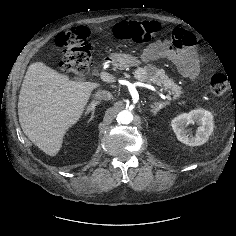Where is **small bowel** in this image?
Returning <instances> with one entry per match:
<instances>
[{"label":"small bowel","mask_w":236,"mask_h":236,"mask_svg":"<svg viewBox=\"0 0 236 236\" xmlns=\"http://www.w3.org/2000/svg\"><path fill=\"white\" fill-rule=\"evenodd\" d=\"M170 60L181 76L196 83L204 64V57L199 53L195 35L189 31L177 28L171 39H157L140 55L143 62L160 59Z\"/></svg>","instance_id":"small-bowel-1"}]
</instances>
